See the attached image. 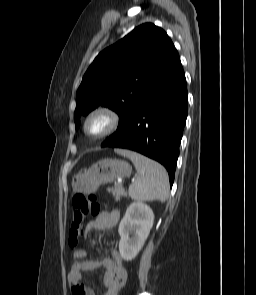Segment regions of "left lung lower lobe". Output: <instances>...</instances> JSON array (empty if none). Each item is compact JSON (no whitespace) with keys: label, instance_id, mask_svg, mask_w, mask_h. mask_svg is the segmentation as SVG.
<instances>
[{"label":"left lung lower lobe","instance_id":"obj_1","mask_svg":"<svg viewBox=\"0 0 256 295\" xmlns=\"http://www.w3.org/2000/svg\"><path fill=\"white\" fill-rule=\"evenodd\" d=\"M187 104L186 79L180 62L101 147L133 150L160 162L167 169L172 186Z\"/></svg>","mask_w":256,"mask_h":295}]
</instances>
